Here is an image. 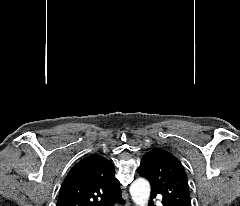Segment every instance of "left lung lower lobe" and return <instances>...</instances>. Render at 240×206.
Returning a JSON list of instances; mask_svg holds the SVG:
<instances>
[{
  "mask_svg": "<svg viewBox=\"0 0 240 206\" xmlns=\"http://www.w3.org/2000/svg\"><path fill=\"white\" fill-rule=\"evenodd\" d=\"M153 197H155L156 195L152 194ZM163 204V203H162ZM150 206H153L152 202H151V205ZM164 206V205H163Z\"/></svg>",
  "mask_w": 240,
  "mask_h": 206,
  "instance_id": "left-lung-lower-lobe-1",
  "label": "left lung lower lobe"
}]
</instances>
